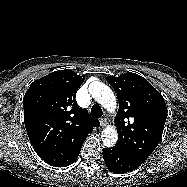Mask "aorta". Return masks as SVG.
Masks as SVG:
<instances>
[{"instance_id":"aorta-1","label":"aorta","mask_w":187,"mask_h":187,"mask_svg":"<svg viewBox=\"0 0 187 187\" xmlns=\"http://www.w3.org/2000/svg\"><path fill=\"white\" fill-rule=\"evenodd\" d=\"M89 92L93 98L106 110L114 113L116 110V98L112 90L102 82H92L89 85ZM118 135L114 127L109 126L102 131L101 140L104 146L113 147L117 142Z\"/></svg>"}]
</instances>
